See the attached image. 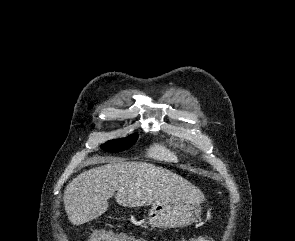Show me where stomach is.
Masks as SVG:
<instances>
[{"instance_id": "obj_1", "label": "stomach", "mask_w": 295, "mask_h": 241, "mask_svg": "<svg viewBox=\"0 0 295 241\" xmlns=\"http://www.w3.org/2000/svg\"><path fill=\"white\" fill-rule=\"evenodd\" d=\"M201 216L199 204H155L149 210L146 223L153 228L186 227Z\"/></svg>"}]
</instances>
